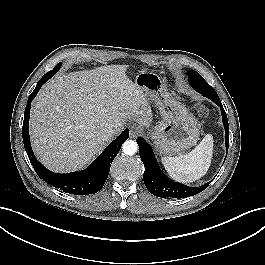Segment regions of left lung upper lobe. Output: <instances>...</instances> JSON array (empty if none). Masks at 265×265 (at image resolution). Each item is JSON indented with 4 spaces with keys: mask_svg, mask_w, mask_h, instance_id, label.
<instances>
[{
    "mask_svg": "<svg viewBox=\"0 0 265 265\" xmlns=\"http://www.w3.org/2000/svg\"><path fill=\"white\" fill-rule=\"evenodd\" d=\"M187 74H188V81L204 80V78L197 71L190 70L187 72Z\"/></svg>",
    "mask_w": 265,
    "mask_h": 265,
    "instance_id": "obj_1",
    "label": "left lung upper lobe"
}]
</instances>
